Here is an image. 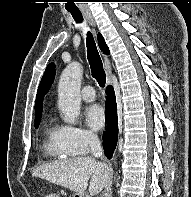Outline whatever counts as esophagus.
I'll return each instance as SVG.
<instances>
[{
  "label": "esophagus",
  "mask_w": 191,
  "mask_h": 197,
  "mask_svg": "<svg viewBox=\"0 0 191 197\" xmlns=\"http://www.w3.org/2000/svg\"><path fill=\"white\" fill-rule=\"evenodd\" d=\"M85 17L92 26H95L93 18L89 13H85ZM104 65H105V71H106L107 84L111 85L112 84V77H111L112 69H111L110 60L107 56H104Z\"/></svg>",
  "instance_id": "esophagus-1"
}]
</instances>
